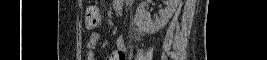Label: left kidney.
<instances>
[{"mask_svg":"<svg viewBox=\"0 0 267 60\" xmlns=\"http://www.w3.org/2000/svg\"><path fill=\"white\" fill-rule=\"evenodd\" d=\"M165 4V9H160L159 17L153 21L145 10L146 1H142L136 9L134 19L138 28L146 33H155L161 30L176 11L179 0H166Z\"/></svg>","mask_w":267,"mask_h":60,"instance_id":"obj_1","label":"left kidney"}]
</instances>
